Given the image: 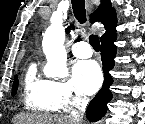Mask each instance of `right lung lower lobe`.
<instances>
[{"mask_svg":"<svg viewBox=\"0 0 145 124\" xmlns=\"http://www.w3.org/2000/svg\"><path fill=\"white\" fill-rule=\"evenodd\" d=\"M117 38L116 30L100 38L101 40V58L103 62L104 83L101 90L97 93L94 99L89 103L86 116L92 121L101 119L107 111V103L112 99L110 86L113 83V78L109 71L114 68V58L116 55V46L114 42Z\"/></svg>","mask_w":145,"mask_h":124,"instance_id":"98d812e1","label":"right lung lower lobe"}]
</instances>
